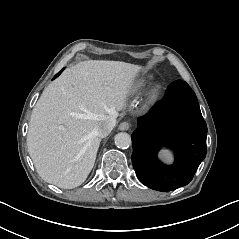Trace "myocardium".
<instances>
[{"label": "myocardium", "instance_id": "1", "mask_svg": "<svg viewBox=\"0 0 239 239\" xmlns=\"http://www.w3.org/2000/svg\"><path fill=\"white\" fill-rule=\"evenodd\" d=\"M163 94H164L163 84L159 82L153 84L145 96L143 109L145 111L153 110L161 101Z\"/></svg>", "mask_w": 239, "mask_h": 239}]
</instances>
